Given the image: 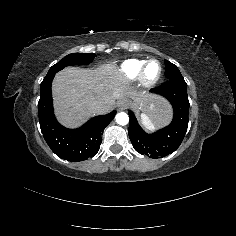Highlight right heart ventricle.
Segmentation results:
<instances>
[{"label": "right heart ventricle", "instance_id": "e07e8e85", "mask_svg": "<svg viewBox=\"0 0 236 236\" xmlns=\"http://www.w3.org/2000/svg\"><path fill=\"white\" fill-rule=\"evenodd\" d=\"M145 59L126 60L119 68L117 76L124 81H134L139 78L140 72L146 63Z\"/></svg>", "mask_w": 236, "mask_h": 236}]
</instances>
